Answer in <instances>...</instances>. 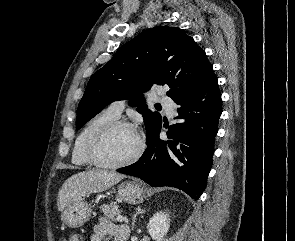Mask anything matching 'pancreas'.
Returning a JSON list of instances; mask_svg holds the SVG:
<instances>
[{
  "label": "pancreas",
  "mask_w": 295,
  "mask_h": 241,
  "mask_svg": "<svg viewBox=\"0 0 295 241\" xmlns=\"http://www.w3.org/2000/svg\"><path fill=\"white\" fill-rule=\"evenodd\" d=\"M100 208L105 217L113 222L117 221L116 216L120 215L122 212L115 202H111L110 204H103Z\"/></svg>",
  "instance_id": "cf45deb5"
}]
</instances>
